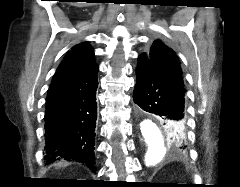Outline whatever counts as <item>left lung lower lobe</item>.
<instances>
[{"mask_svg":"<svg viewBox=\"0 0 240 187\" xmlns=\"http://www.w3.org/2000/svg\"><path fill=\"white\" fill-rule=\"evenodd\" d=\"M139 62L133 92L138 114L157 116L165 122L171 138L179 140L185 134L184 86L162 75L147 57H139ZM176 123L182 125L184 130L176 128Z\"/></svg>","mask_w":240,"mask_h":187,"instance_id":"0a47b994","label":"left lung lower lobe"}]
</instances>
